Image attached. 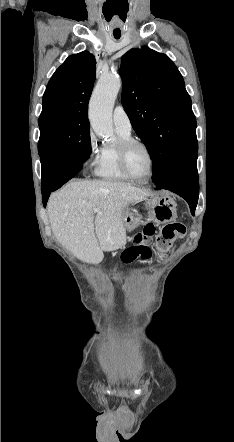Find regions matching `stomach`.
Returning a JSON list of instances; mask_svg holds the SVG:
<instances>
[{"instance_id": "stomach-1", "label": "stomach", "mask_w": 234, "mask_h": 442, "mask_svg": "<svg viewBox=\"0 0 234 442\" xmlns=\"http://www.w3.org/2000/svg\"><path fill=\"white\" fill-rule=\"evenodd\" d=\"M176 205L169 194L138 200L124 209L122 224L125 231L150 222L165 224L176 219Z\"/></svg>"}]
</instances>
